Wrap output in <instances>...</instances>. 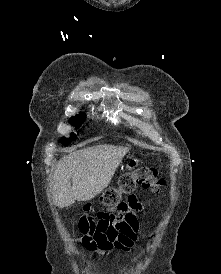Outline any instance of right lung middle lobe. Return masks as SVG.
I'll use <instances>...</instances> for the list:
<instances>
[{
    "instance_id": "1",
    "label": "right lung middle lobe",
    "mask_w": 221,
    "mask_h": 274,
    "mask_svg": "<svg viewBox=\"0 0 221 274\" xmlns=\"http://www.w3.org/2000/svg\"><path fill=\"white\" fill-rule=\"evenodd\" d=\"M85 118H86V117H85L84 114L78 115V116L72 117V118L70 119V122H71L73 125H75V126H80V124L84 122ZM75 137H76L75 135H72L69 139L62 138V139H61V142L66 146V145H68L72 140H74Z\"/></svg>"
}]
</instances>
